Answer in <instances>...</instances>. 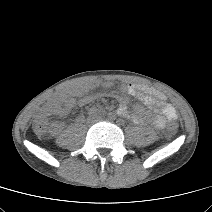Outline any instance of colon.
I'll list each match as a JSON object with an SVG mask.
<instances>
[{
  "label": "colon",
  "instance_id": "5ec220e1",
  "mask_svg": "<svg viewBox=\"0 0 212 212\" xmlns=\"http://www.w3.org/2000/svg\"><path fill=\"white\" fill-rule=\"evenodd\" d=\"M51 119H39L34 125L33 129L38 135H45L49 131V124ZM178 129V125L175 122H170L167 126V130L169 133H175Z\"/></svg>",
  "mask_w": 212,
  "mask_h": 212
}]
</instances>
